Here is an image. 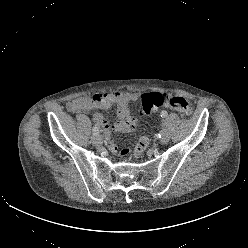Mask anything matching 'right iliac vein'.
Segmentation results:
<instances>
[{"label": "right iliac vein", "mask_w": 248, "mask_h": 248, "mask_svg": "<svg viewBox=\"0 0 248 248\" xmlns=\"http://www.w3.org/2000/svg\"><path fill=\"white\" fill-rule=\"evenodd\" d=\"M92 142H93V144L96 145V146L102 145V138H101V136H100L99 134L93 135V137H92Z\"/></svg>", "instance_id": "63e3f726"}]
</instances>
